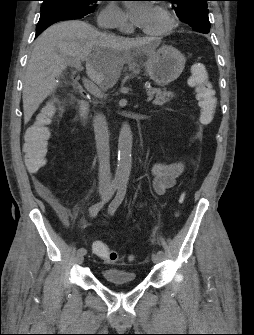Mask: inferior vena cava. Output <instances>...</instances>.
Instances as JSON below:
<instances>
[{
	"label": "inferior vena cava",
	"instance_id": "1",
	"mask_svg": "<svg viewBox=\"0 0 254 335\" xmlns=\"http://www.w3.org/2000/svg\"><path fill=\"white\" fill-rule=\"evenodd\" d=\"M99 26L106 28L102 22ZM94 132L99 160V189L106 191L111 186L109 133L106 118L98 114L94 118Z\"/></svg>",
	"mask_w": 254,
	"mask_h": 335
}]
</instances>
